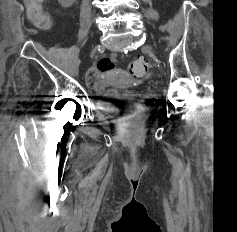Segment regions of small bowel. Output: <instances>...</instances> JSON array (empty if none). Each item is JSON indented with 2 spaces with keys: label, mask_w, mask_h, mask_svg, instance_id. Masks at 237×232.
<instances>
[{
  "label": "small bowel",
  "mask_w": 237,
  "mask_h": 232,
  "mask_svg": "<svg viewBox=\"0 0 237 232\" xmlns=\"http://www.w3.org/2000/svg\"><path fill=\"white\" fill-rule=\"evenodd\" d=\"M87 83L98 93L109 86L108 80L102 79L96 69H90L87 73Z\"/></svg>",
  "instance_id": "c3829d8e"
}]
</instances>
